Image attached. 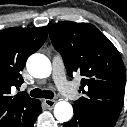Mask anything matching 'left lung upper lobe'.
I'll return each instance as SVG.
<instances>
[{
    "label": "left lung upper lobe",
    "instance_id": "obj_1",
    "mask_svg": "<svg viewBox=\"0 0 127 127\" xmlns=\"http://www.w3.org/2000/svg\"><path fill=\"white\" fill-rule=\"evenodd\" d=\"M49 35L68 74L79 71L83 76L80 89L84 96L73 107L116 123L123 106L126 73L115 46L88 23H55L49 27Z\"/></svg>",
    "mask_w": 127,
    "mask_h": 127
}]
</instances>
